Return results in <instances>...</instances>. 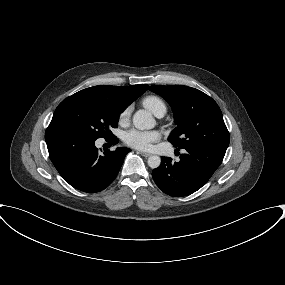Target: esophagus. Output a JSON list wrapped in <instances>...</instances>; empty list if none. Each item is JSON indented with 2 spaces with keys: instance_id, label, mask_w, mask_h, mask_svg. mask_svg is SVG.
<instances>
[{
  "instance_id": "obj_1",
  "label": "esophagus",
  "mask_w": 285,
  "mask_h": 285,
  "mask_svg": "<svg viewBox=\"0 0 285 285\" xmlns=\"http://www.w3.org/2000/svg\"><path fill=\"white\" fill-rule=\"evenodd\" d=\"M137 153H139V154L142 155L143 157H149V156H151L150 153H146V152H142V151H138Z\"/></svg>"
}]
</instances>
